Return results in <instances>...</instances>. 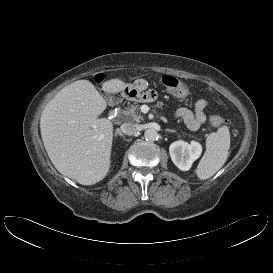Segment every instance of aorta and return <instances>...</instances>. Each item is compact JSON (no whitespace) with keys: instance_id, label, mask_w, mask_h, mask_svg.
Returning <instances> with one entry per match:
<instances>
[{"instance_id":"obj_1","label":"aorta","mask_w":273,"mask_h":273,"mask_svg":"<svg viewBox=\"0 0 273 273\" xmlns=\"http://www.w3.org/2000/svg\"><path fill=\"white\" fill-rule=\"evenodd\" d=\"M144 137L147 141H155L158 137V133L154 129H147L144 133Z\"/></svg>"}]
</instances>
